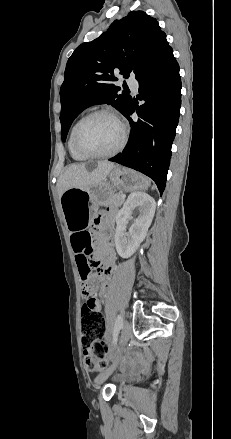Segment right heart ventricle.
<instances>
[{
    "instance_id": "1",
    "label": "right heart ventricle",
    "mask_w": 231,
    "mask_h": 439,
    "mask_svg": "<svg viewBox=\"0 0 231 439\" xmlns=\"http://www.w3.org/2000/svg\"><path fill=\"white\" fill-rule=\"evenodd\" d=\"M82 118H83V117H82ZM82 118H81V119H82ZM81 119H79V120H78V121L72 126L71 131H70V134H69V138H68V150H69V152H70L71 157H72L74 160H77V161H83V160L86 159L84 156H82L81 154H79V153L74 149V147H73V143H72V134H73L74 128H75L76 124H77Z\"/></svg>"
}]
</instances>
